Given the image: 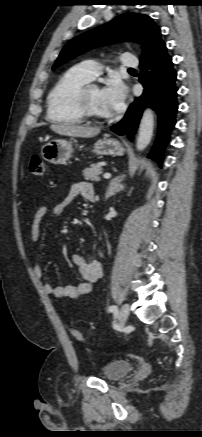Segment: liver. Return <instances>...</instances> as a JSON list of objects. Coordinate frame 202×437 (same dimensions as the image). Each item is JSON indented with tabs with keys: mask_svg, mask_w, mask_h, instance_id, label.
<instances>
[{
	"mask_svg": "<svg viewBox=\"0 0 202 437\" xmlns=\"http://www.w3.org/2000/svg\"><path fill=\"white\" fill-rule=\"evenodd\" d=\"M50 129L59 135L80 137V138H91L100 133L99 128L79 126V125L66 124V123L52 124L50 126Z\"/></svg>",
	"mask_w": 202,
	"mask_h": 437,
	"instance_id": "1",
	"label": "liver"
}]
</instances>
